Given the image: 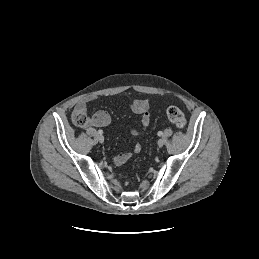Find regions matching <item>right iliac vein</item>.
Here are the masks:
<instances>
[{
    "label": "right iliac vein",
    "instance_id": "right-iliac-vein-1",
    "mask_svg": "<svg viewBox=\"0 0 259 259\" xmlns=\"http://www.w3.org/2000/svg\"><path fill=\"white\" fill-rule=\"evenodd\" d=\"M98 141H99L100 143H103V142H104V137H103V135H98Z\"/></svg>",
    "mask_w": 259,
    "mask_h": 259
}]
</instances>
